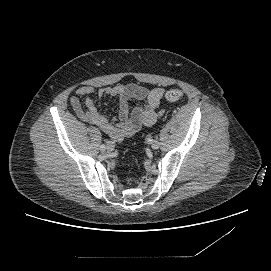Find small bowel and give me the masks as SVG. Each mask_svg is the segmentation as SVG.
<instances>
[{
	"instance_id": "1",
	"label": "small bowel",
	"mask_w": 271,
	"mask_h": 271,
	"mask_svg": "<svg viewBox=\"0 0 271 271\" xmlns=\"http://www.w3.org/2000/svg\"><path fill=\"white\" fill-rule=\"evenodd\" d=\"M94 94L93 87L82 86L77 89L76 95L70 98V104L81 120L96 125L115 141L134 135L143 126L153 125L165 112L163 108H159L165 94L164 88L147 89L136 84H117L100 88L97 92L99 98L118 99V114L113 118H108L99 111L92 98ZM81 98H84L85 108ZM132 100L139 101L140 104L131 109L129 103Z\"/></svg>"
}]
</instances>
